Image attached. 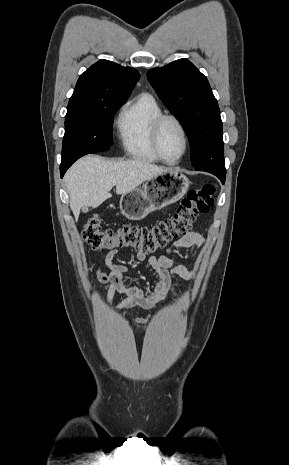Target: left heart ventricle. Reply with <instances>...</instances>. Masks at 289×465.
<instances>
[{
	"label": "left heart ventricle",
	"instance_id": "1",
	"mask_svg": "<svg viewBox=\"0 0 289 465\" xmlns=\"http://www.w3.org/2000/svg\"><path fill=\"white\" fill-rule=\"evenodd\" d=\"M161 150L163 155L174 160L184 149V139L179 127L172 121H166L161 132Z\"/></svg>",
	"mask_w": 289,
	"mask_h": 465
}]
</instances>
